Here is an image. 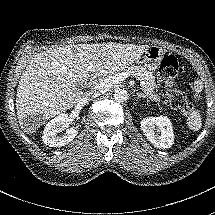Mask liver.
I'll return each instance as SVG.
<instances>
[{
  "instance_id": "obj_1",
  "label": "liver",
  "mask_w": 215,
  "mask_h": 215,
  "mask_svg": "<svg viewBox=\"0 0 215 215\" xmlns=\"http://www.w3.org/2000/svg\"><path fill=\"white\" fill-rule=\"evenodd\" d=\"M149 46L115 42L65 45L35 55L16 93L21 129L32 134L45 121L81 101L90 73L107 76L138 60ZM92 89H95L92 87Z\"/></svg>"
}]
</instances>
